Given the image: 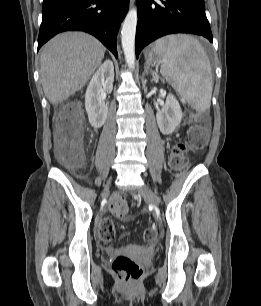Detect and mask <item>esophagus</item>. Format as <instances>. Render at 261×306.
<instances>
[{
    "label": "esophagus",
    "mask_w": 261,
    "mask_h": 306,
    "mask_svg": "<svg viewBox=\"0 0 261 306\" xmlns=\"http://www.w3.org/2000/svg\"><path fill=\"white\" fill-rule=\"evenodd\" d=\"M135 0H130V4L132 5L134 3Z\"/></svg>",
    "instance_id": "obj_1"
}]
</instances>
